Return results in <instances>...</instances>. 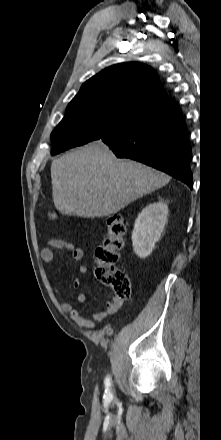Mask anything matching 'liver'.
Listing matches in <instances>:
<instances>
[{
    "mask_svg": "<svg viewBox=\"0 0 221 440\" xmlns=\"http://www.w3.org/2000/svg\"><path fill=\"white\" fill-rule=\"evenodd\" d=\"M52 197L62 215L84 218L117 213L166 185L170 177L131 160H120L102 141L67 153L51 164Z\"/></svg>",
    "mask_w": 221,
    "mask_h": 440,
    "instance_id": "obj_1",
    "label": "liver"
}]
</instances>
